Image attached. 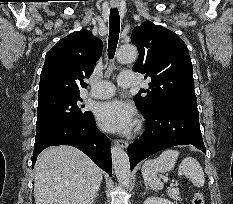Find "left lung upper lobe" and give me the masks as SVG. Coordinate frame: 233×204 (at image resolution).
<instances>
[{"instance_id": "obj_1", "label": "left lung upper lobe", "mask_w": 233, "mask_h": 204, "mask_svg": "<svg viewBox=\"0 0 233 204\" xmlns=\"http://www.w3.org/2000/svg\"><path fill=\"white\" fill-rule=\"evenodd\" d=\"M131 41L139 51L132 69L151 79L149 89H141L134 97L143 114L168 106L197 110L192 63L184 41L150 21L133 30Z\"/></svg>"}]
</instances>
